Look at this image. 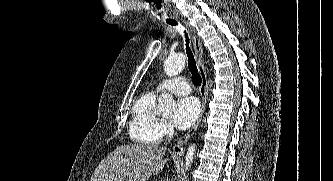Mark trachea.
Returning a JSON list of instances; mask_svg holds the SVG:
<instances>
[{
    "label": "trachea",
    "mask_w": 333,
    "mask_h": 181,
    "mask_svg": "<svg viewBox=\"0 0 333 181\" xmlns=\"http://www.w3.org/2000/svg\"><path fill=\"white\" fill-rule=\"evenodd\" d=\"M167 23L172 25V26L177 25V22L175 20L167 21ZM184 34H185V38H186L185 41H186V53H187V57H188V67H189V70L192 74L193 83L196 86H200L202 79H201V76L198 72V69H197V66H196V63H195V60H194L193 53H192L191 48L189 46L188 34L186 33V31H184Z\"/></svg>",
    "instance_id": "1"
}]
</instances>
